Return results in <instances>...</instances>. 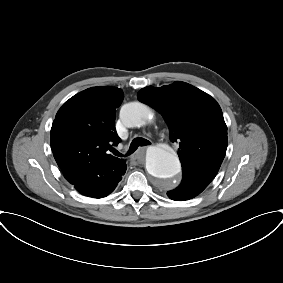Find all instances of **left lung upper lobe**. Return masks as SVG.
<instances>
[{"label":"left lung upper lobe","mask_w":283,"mask_h":283,"mask_svg":"<svg viewBox=\"0 0 283 283\" xmlns=\"http://www.w3.org/2000/svg\"><path fill=\"white\" fill-rule=\"evenodd\" d=\"M138 99L165 118L171 141L179 143L183 175L211 182L227 149V126L219 104L198 88L176 81L138 92Z\"/></svg>","instance_id":"1"}]
</instances>
